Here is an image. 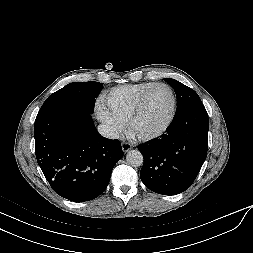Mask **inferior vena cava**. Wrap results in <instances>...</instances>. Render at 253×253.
I'll list each match as a JSON object with an SVG mask.
<instances>
[{"mask_svg":"<svg viewBox=\"0 0 253 253\" xmlns=\"http://www.w3.org/2000/svg\"><path fill=\"white\" fill-rule=\"evenodd\" d=\"M97 130H98L99 134L103 137H106L109 139H118L119 138L118 131L108 124H100L97 127Z\"/></svg>","mask_w":253,"mask_h":253,"instance_id":"inferior-vena-cava-1","label":"inferior vena cava"}]
</instances>
